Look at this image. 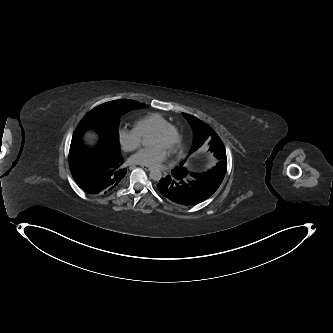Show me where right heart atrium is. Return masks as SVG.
I'll return each instance as SVG.
<instances>
[{
    "label": "right heart atrium",
    "mask_w": 333,
    "mask_h": 333,
    "mask_svg": "<svg viewBox=\"0 0 333 333\" xmlns=\"http://www.w3.org/2000/svg\"><path fill=\"white\" fill-rule=\"evenodd\" d=\"M118 140L124 151L133 152L141 146L142 135L135 127H121L118 131Z\"/></svg>",
    "instance_id": "d8ad5b80"
}]
</instances>
